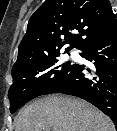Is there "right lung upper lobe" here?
<instances>
[{"mask_svg":"<svg viewBox=\"0 0 117 131\" xmlns=\"http://www.w3.org/2000/svg\"><path fill=\"white\" fill-rule=\"evenodd\" d=\"M117 29L108 0H46L31 16L12 70L32 64L65 45L81 49ZM76 31V33H72Z\"/></svg>","mask_w":117,"mask_h":131,"instance_id":"right-lung-upper-lobe-1","label":"right lung upper lobe"}]
</instances>
